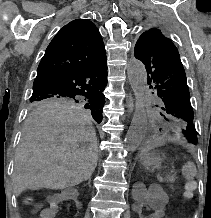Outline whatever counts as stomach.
I'll list each match as a JSON object with an SVG mask.
<instances>
[{
  "label": "stomach",
  "mask_w": 211,
  "mask_h": 218,
  "mask_svg": "<svg viewBox=\"0 0 211 218\" xmlns=\"http://www.w3.org/2000/svg\"><path fill=\"white\" fill-rule=\"evenodd\" d=\"M161 158L153 155H146L143 158V165L146 167L153 166L155 168H159L161 166Z\"/></svg>",
  "instance_id": "0dacf381"
}]
</instances>
